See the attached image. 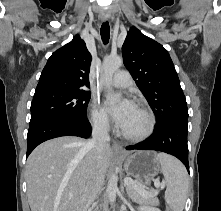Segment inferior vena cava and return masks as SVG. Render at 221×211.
<instances>
[{
  "instance_id": "obj_1",
  "label": "inferior vena cava",
  "mask_w": 221,
  "mask_h": 211,
  "mask_svg": "<svg viewBox=\"0 0 221 211\" xmlns=\"http://www.w3.org/2000/svg\"><path fill=\"white\" fill-rule=\"evenodd\" d=\"M109 124L106 120H100L96 122L93 126L92 130V139L89 141L90 146L93 148L95 152L96 159L99 163L102 152L104 149L109 147ZM104 172L103 170L97 166V170L95 172V176L93 179L92 188L88 195L87 202L88 204H93L95 207V200L98 198L101 193V188L104 183ZM95 211H98V207H95Z\"/></svg>"
}]
</instances>
